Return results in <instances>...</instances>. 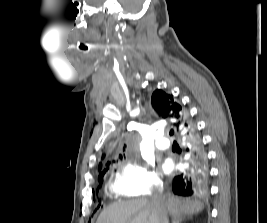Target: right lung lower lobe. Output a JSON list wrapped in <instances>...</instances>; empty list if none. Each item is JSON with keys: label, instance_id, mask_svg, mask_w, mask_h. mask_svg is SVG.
Instances as JSON below:
<instances>
[{"label": "right lung lower lobe", "instance_id": "1", "mask_svg": "<svg viewBox=\"0 0 267 223\" xmlns=\"http://www.w3.org/2000/svg\"><path fill=\"white\" fill-rule=\"evenodd\" d=\"M189 142L185 148L189 167L173 179L172 189L177 195L190 196L200 191L208 180V164L205 152L195 128L189 126L183 134Z\"/></svg>", "mask_w": 267, "mask_h": 223}]
</instances>
